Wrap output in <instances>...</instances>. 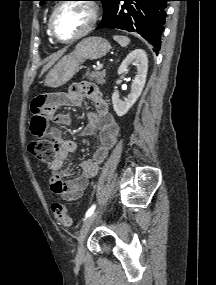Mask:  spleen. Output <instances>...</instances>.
Here are the masks:
<instances>
[{"label": "spleen", "mask_w": 216, "mask_h": 285, "mask_svg": "<svg viewBox=\"0 0 216 285\" xmlns=\"http://www.w3.org/2000/svg\"><path fill=\"white\" fill-rule=\"evenodd\" d=\"M114 40L117 41L122 47H126L130 43V39L126 36H113Z\"/></svg>", "instance_id": "spleen-1"}]
</instances>
